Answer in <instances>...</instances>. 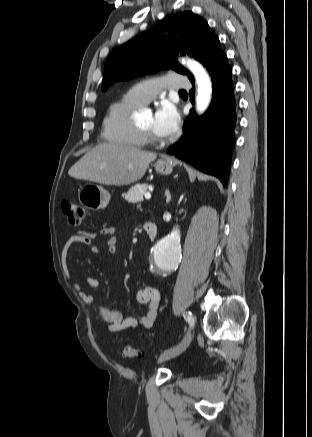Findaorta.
<instances>
[{
    "mask_svg": "<svg viewBox=\"0 0 312 437\" xmlns=\"http://www.w3.org/2000/svg\"><path fill=\"white\" fill-rule=\"evenodd\" d=\"M194 74L197 85L196 107L199 113H203L211 100V81L204 68L196 61L182 60ZM181 258L180 230L176 226L172 232L161 239L154 248V261L158 271L166 272L176 267Z\"/></svg>",
    "mask_w": 312,
    "mask_h": 437,
    "instance_id": "1",
    "label": "aorta"
}]
</instances>
